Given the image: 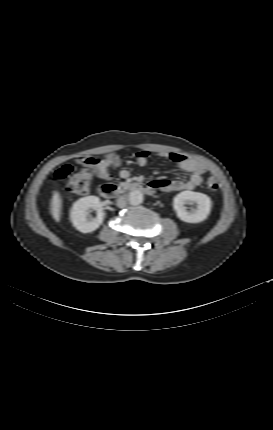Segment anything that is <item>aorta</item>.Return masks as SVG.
<instances>
[{"instance_id":"obj_1","label":"aorta","mask_w":273,"mask_h":430,"mask_svg":"<svg viewBox=\"0 0 273 430\" xmlns=\"http://www.w3.org/2000/svg\"><path fill=\"white\" fill-rule=\"evenodd\" d=\"M128 200L131 205H140L143 202V194L139 190H133L129 193Z\"/></svg>"}]
</instances>
